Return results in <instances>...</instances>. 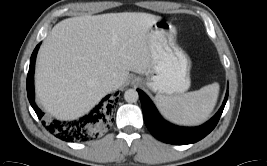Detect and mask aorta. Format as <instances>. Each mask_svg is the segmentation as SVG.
<instances>
[{
	"instance_id": "1",
	"label": "aorta",
	"mask_w": 267,
	"mask_h": 166,
	"mask_svg": "<svg viewBox=\"0 0 267 166\" xmlns=\"http://www.w3.org/2000/svg\"><path fill=\"white\" fill-rule=\"evenodd\" d=\"M139 98L138 92L135 89H128L124 93V99L126 102L133 103L136 102Z\"/></svg>"
}]
</instances>
